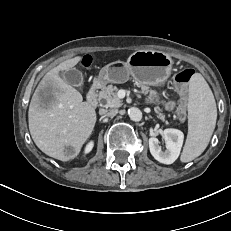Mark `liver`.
<instances>
[{
  "mask_svg": "<svg viewBox=\"0 0 231 231\" xmlns=\"http://www.w3.org/2000/svg\"><path fill=\"white\" fill-rule=\"evenodd\" d=\"M80 60V56L67 59L47 72L28 111L29 130L36 146L61 161L80 152L97 120L95 109L59 76L60 71L72 69Z\"/></svg>",
  "mask_w": 231,
  "mask_h": 231,
  "instance_id": "obj_1",
  "label": "liver"
}]
</instances>
